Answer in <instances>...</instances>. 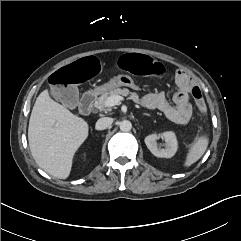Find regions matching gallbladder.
I'll use <instances>...</instances> for the list:
<instances>
[{
    "instance_id": "obj_1",
    "label": "gallbladder",
    "mask_w": 241,
    "mask_h": 241,
    "mask_svg": "<svg viewBox=\"0 0 241 241\" xmlns=\"http://www.w3.org/2000/svg\"><path fill=\"white\" fill-rule=\"evenodd\" d=\"M68 102H65V105L70 108H74L78 105L79 101V91L76 87H70L67 91Z\"/></svg>"
}]
</instances>
